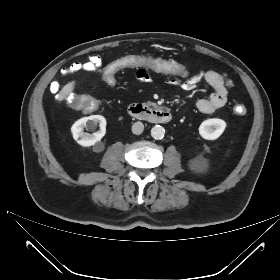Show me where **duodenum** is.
Instances as JSON below:
<instances>
[{"label": "duodenum", "mask_w": 280, "mask_h": 280, "mask_svg": "<svg viewBox=\"0 0 280 280\" xmlns=\"http://www.w3.org/2000/svg\"><path fill=\"white\" fill-rule=\"evenodd\" d=\"M132 118L145 120L156 124H166L172 120V113L165 109H155L141 103H133L128 107Z\"/></svg>", "instance_id": "obj_1"}]
</instances>
